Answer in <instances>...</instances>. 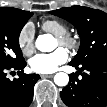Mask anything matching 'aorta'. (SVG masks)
I'll list each match as a JSON object with an SVG mask.
<instances>
[{"label": "aorta", "instance_id": "762f6f07", "mask_svg": "<svg viewBox=\"0 0 107 107\" xmlns=\"http://www.w3.org/2000/svg\"><path fill=\"white\" fill-rule=\"evenodd\" d=\"M35 46L41 52H51L56 48V42L52 35L44 34L38 36ZM54 82L58 86H66L69 82V76L64 72H59L54 76Z\"/></svg>", "mask_w": 107, "mask_h": 107}]
</instances>
